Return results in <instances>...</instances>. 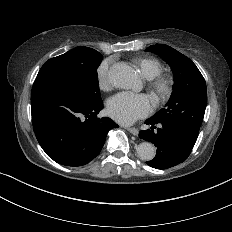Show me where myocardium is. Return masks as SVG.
Instances as JSON below:
<instances>
[{"label":"myocardium","instance_id":"f54148a6","mask_svg":"<svg viewBox=\"0 0 232 232\" xmlns=\"http://www.w3.org/2000/svg\"><path fill=\"white\" fill-rule=\"evenodd\" d=\"M150 95L157 103L166 101L172 93L173 81L167 76H158L147 83Z\"/></svg>","mask_w":232,"mask_h":232}]
</instances>
